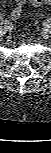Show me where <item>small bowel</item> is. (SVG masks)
<instances>
[{
    "mask_svg": "<svg viewBox=\"0 0 51 153\" xmlns=\"http://www.w3.org/2000/svg\"><path fill=\"white\" fill-rule=\"evenodd\" d=\"M27 1H29L35 7L51 3V0H15L16 5L10 14L11 20H16L19 18L22 11V7L25 5Z\"/></svg>",
    "mask_w": 51,
    "mask_h": 153,
    "instance_id": "1",
    "label": "small bowel"
}]
</instances>
